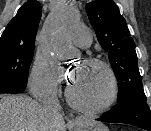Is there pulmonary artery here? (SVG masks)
Here are the masks:
<instances>
[{
	"instance_id": "e3ab8cb5",
	"label": "pulmonary artery",
	"mask_w": 151,
	"mask_h": 131,
	"mask_svg": "<svg viewBox=\"0 0 151 131\" xmlns=\"http://www.w3.org/2000/svg\"><path fill=\"white\" fill-rule=\"evenodd\" d=\"M73 43L81 48H87L92 43L91 32L84 27H76L72 33Z\"/></svg>"
}]
</instances>
